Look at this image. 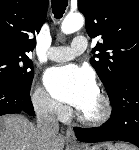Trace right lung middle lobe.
<instances>
[{
	"label": "right lung middle lobe",
	"instance_id": "right-lung-middle-lobe-1",
	"mask_svg": "<svg viewBox=\"0 0 139 150\" xmlns=\"http://www.w3.org/2000/svg\"><path fill=\"white\" fill-rule=\"evenodd\" d=\"M33 76V63L28 54L0 48V83L30 89Z\"/></svg>",
	"mask_w": 139,
	"mask_h": 150
}]
</instances>
